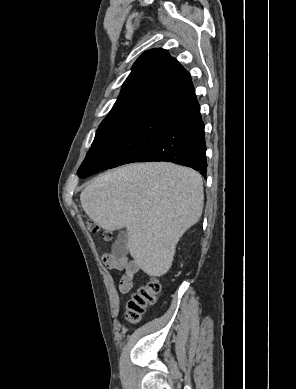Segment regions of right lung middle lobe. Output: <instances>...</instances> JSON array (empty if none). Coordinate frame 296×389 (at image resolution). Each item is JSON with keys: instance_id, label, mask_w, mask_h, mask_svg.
Instances as JSON below:
<instances>
[{"instance_id": "1", "label": "right lung middle lobe", "mask_w": 296, "mask_h": 389, "mask_svg": "<svg viewBox=\"0 0 296 389\" xmlns=\"http://www.w3.org/2000/svg\"><path fill=\"white\" fill-rule=\"evenodd\" d=\"M175 121L176 119L154 113L121 119L105 118L81 167L99 172L140 162Z\"/></svg>"}]
</instances>
